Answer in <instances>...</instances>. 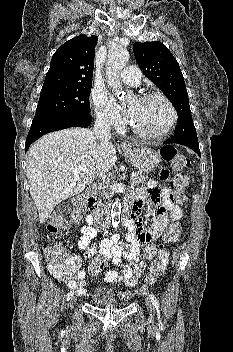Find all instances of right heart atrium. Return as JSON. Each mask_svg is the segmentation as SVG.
Returning <instances> with one entry per match:
<instances>
[{"mask_svg": "<svg viewBox=\"0 0 233 352\" xmlns=\"http://www.w3.org/2000/svg\"><path fill=\"white\" fill-rule=\"evenodd\" d=\"M95 117L98 123L106 127L120 128L123 119L112 101L104 93H93Z\"/></svg>", "mask_w": 233, "mask_h": 352, "instance_id": "1", "label": "right heart atrium"}]
</instances>
